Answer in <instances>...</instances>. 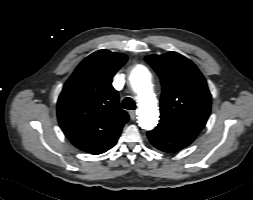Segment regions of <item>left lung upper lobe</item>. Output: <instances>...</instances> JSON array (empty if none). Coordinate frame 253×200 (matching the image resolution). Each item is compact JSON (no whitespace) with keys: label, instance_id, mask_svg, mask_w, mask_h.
Returning a JSON list of instances; mask_svg holds the SVG:
<instances>
[{"label":"left lung upper lobe","instance_id":"left-lung-upper-lobe-1","mask_svg":"<svg viewBox=\"0 0 253 200\" xmlns=\"http://www.w3.org/2000/svg\"><path fill=\"white\" fill-rule=\"evenodd\" d=\"M145 60L162 83L160 123L200 132L211 111V94L201 72L176 52L149 55Z\"/></svg>","mask_w":253,"mask_h":200}]
</instances>
